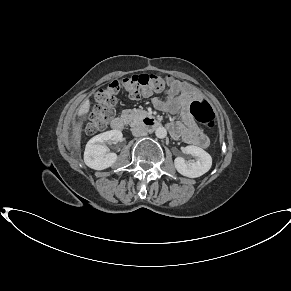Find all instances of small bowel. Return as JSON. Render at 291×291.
Listing matches in <instances>:
<instances>
[{"instance_id": "obj_1", "label": "small bowel", "mask_w": 291, "mask_h": 291, "mask_svg": "<svg viewBox=\"0 0 291 291\" xmlns=\"http://www.w3.org/2000/svg\"><path fill=\"white\" fill-rule=\"evenodd\" d=\"M165 94V99L154 98L153 105L161 111L181 112L179 122L167 124L172 137L199 148H207L209 140L196 125L188 109L192 101L199 99L198 93L193 90L189 83L173 80Z\"/></svg>"}]
</instances>
